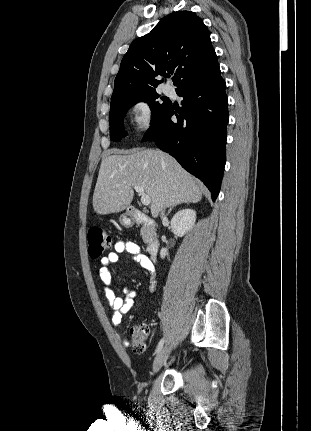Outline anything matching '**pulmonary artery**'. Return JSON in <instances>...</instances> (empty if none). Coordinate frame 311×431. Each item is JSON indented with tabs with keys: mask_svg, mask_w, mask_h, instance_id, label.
I'll use <instances>...</instances> for the list:
<instances>
[{
	"mask_svg": "<svg viewBox=\"0 0 311 431\" xmlns=\"http://www.w3.org/2000/svg\"><path fill=\"white\" fill-rule=\"evenodd\" d=\"M173 92H174V89H173V87H172L171 85L166 84V85L164 86V93H165V94H167V95H172V94H173Z\"/></svg>",
	"mask_w": 311,
	"mask_h": 431,
	"instance_id": "pulmonary-artery-1",
	"label": "pulmonary artery"
}]
</instances>
